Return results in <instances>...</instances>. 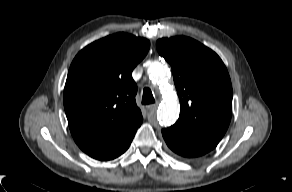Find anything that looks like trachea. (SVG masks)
<instances>
[{"instance_id": "3493384b", "label": "trachea", "mask_w": 292, "mask_h": 192, "mask_svg": "<svg viewBox=\"0 0 292 192\" xmlns=\"http://www.w3.org/2000/svg\"><path fill=\"white\" fill-rule=\"evenodd\" d=\"M155 102L153 94L149 88H144L143 96H142V103L143 104H152Z\"/></svg>"}]
</instances>
